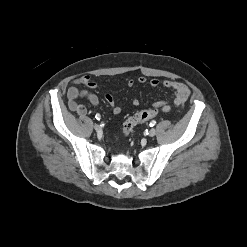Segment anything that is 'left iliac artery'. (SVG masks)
Returning a JSON list of instances; mask_svg holds the SVG:
<instances>
[{
    "mask_svg": "<svg viewBox=\"0 0 247 247\" xmlns=\"http://www.w3.org/2000/svg\"><path fill=\"white\" fill-rule=\"evenodd\" d=\"M156 124V121L155 120H152L151 122H150V126H154Z\"/></svg>",
    "mask_w": 247,
    "mask_h": 247,
    "instance_id": "1",
    "label": "left iliac artery"
}]
</instances>
